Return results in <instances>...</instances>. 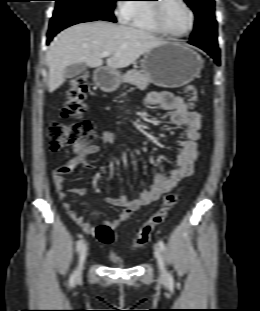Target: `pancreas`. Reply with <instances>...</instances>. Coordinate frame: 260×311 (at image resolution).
<instances>
[{
    "label": "pancreas",
    "instance_id": "1",
    "mask_svg": "<svg viewBox=\"0 0 260 311\" xmlns=\"http://www.w3.org/2000/svg\"><path fill=\"white\" fill-rule=\"evenodd\" d=\"M121 81L135 85L140 90H145L150 82L149 78L145 74L135 69L129 70L125 73L122 76Z\"/></svg>",
    "mask_w": 260,
    "mask_h": 311
}]
</instances>
